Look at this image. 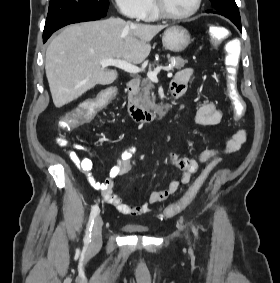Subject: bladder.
Instances as JSON below:
<instances>
[{
    "label": "bladder",
    "mask_w": 280,
    "mask_h": 283,
    "mask_svg": "<svg viewBox=\"0 0 280 283\" xmlns=\"http://www.w3.org/2000/svg\"><path fill=\"white\" fill-rule=\"evenodd\" d=\"M122 229L133 234H146L149 232V228L137 224H124Z\"/></svg>",
    "instance_id": "obj_1"
}]
</instances>
